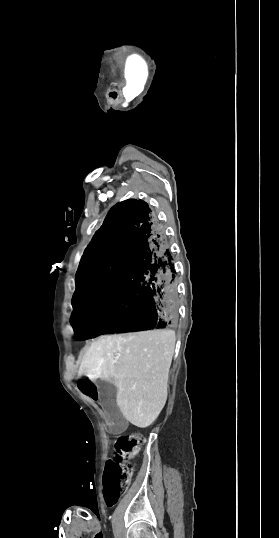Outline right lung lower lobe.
Wrapping results in <instances>:
<instances>
[{
    "label": "right lung lower lobe",
    "instance_id": "right-lung-lower-lobe-1",
    "mask_svg": "<svg viewBox=\"0 0 279 538\" xmlns=\"http://www.w3.org/2000/svg\"><path fill=\"white\" fill-rule=\"evenodd\" d=\"M169 241L149 205L116 204L76 273L71 324L84 339L107 333L174 330L177 290Z\"/></svg>",
    "mask_w": 279,
    "mask_h": 538
}]
</instances>
